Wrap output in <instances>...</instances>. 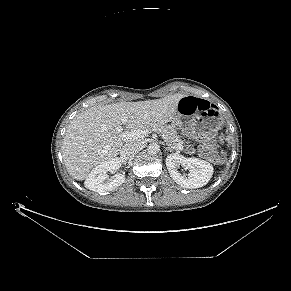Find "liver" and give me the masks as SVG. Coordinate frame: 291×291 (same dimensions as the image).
Masks as SVG:
<instances>
[{
  "label": "liver",
  "mask_w": 291,
  "mask_h": 291,
  "mask_svg": "<svg viewBox=\"0 0 291 291\" xmlns=\"http://www.w3.org/2000/svg\"><path fill=\"white\" fill-rule=\"evenodd\" d=\"M182 94L161 99L119 102L90 107L76 115L67 127L62 144L66 169L76 180H84L90 170L116 157L124 142L117 127L127 125L131 130L165 124L177 114Z\"/></svg>",
  "instance_id": "6515ba94"
}]
</instances>
